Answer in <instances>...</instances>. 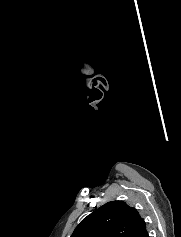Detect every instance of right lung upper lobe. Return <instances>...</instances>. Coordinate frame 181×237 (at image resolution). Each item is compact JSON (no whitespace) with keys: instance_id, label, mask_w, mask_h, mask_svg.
Instances as JSON below:
<instances>
[{"instance_id":"obj_1","label":"right lung upper lobe","mask_w":181,"mask_h":237,"mask_svg":"<svg viewBox=\"0 0 181 237\" xmlns=\"http://www.w3.org/2000/svg\"><path fill=\"white\" fill-rule=\"evenodd\" d=\"M71 237H149L146 224L135 208L111 201L89 214Z\"/></svg>"}]
</instances>
